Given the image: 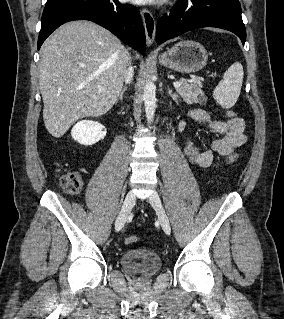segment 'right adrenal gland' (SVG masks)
I'll return each instance as SVG.
<instances>
[{
    "label": "right adrenal gland",
    "mask_w": 284,
    "mask_h": 319,
    "mask_svg": "<svg viewBox=\"0 0 284 319\" xmlns=\"http://www.w3.org/2000/svg\"><path fill=\"white\" fill-rule=\"evenodd\" d=\"M127 90V87L125 86L123 89H122V91L120 92V94H119V96H118V98H117V100H116V103L120 100V101H122L123 100V94H124V92Z\"/></svg>",
    "instance_id": "obj_1"
}]
</instances>
